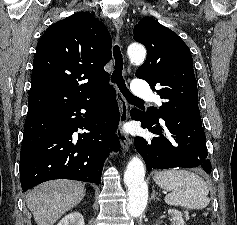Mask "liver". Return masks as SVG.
I'll return each mask as SVG.
<instances>
[{
  "label": "liver",
  "mask_w": 237,
  "mask_h": 225,
  "mask_svg": "<svg viewBox=\"0 0 237 225\" xmlns=\"http://www.w3.org/2000/svg\"><path fill=\"white\" fill-rule=\"evenodd\" d=\"M85 196V185L71 180L44 182L26 194V204L37 225H53Z\"/></svg>",
  "instance_id": "obj_1"
}]
</instances>
